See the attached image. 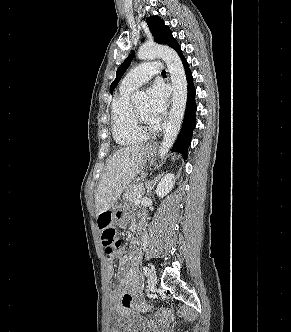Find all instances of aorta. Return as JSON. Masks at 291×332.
Returning <instances> with one entry per match:
<instances>
[{"label": "aorta", "instance_id": "762f6f07", "mask_svg": "<svg viewBox=\"0 0 291 332\" xmlns=\"http://www.w3.org/2000/svg\"><path fill=\"white\" fill-rule=\"evenodd\" d=\"M141 60L161 58L167 65L173 86L172 108L169 113L163 140L160 145L161 159L168 153L173 145L183 121L187 102V80L185 70L178 54L171 48L159 44H144L137 52ZM146 99L142 91L132 95V101L139 102Z\"/></svg>", "mask_w": 291, "mask_h": 332}]
</instances>
